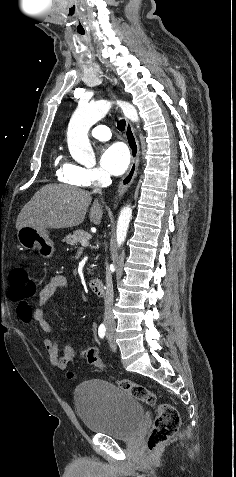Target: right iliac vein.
I'll use <instances>...</instances> for the list:
<instances>
[{
    "label": "right iliac vein",
    "instance_id": "63e3f726",
    "mask_svg": "<svg viewBox=\"0 0 236 477\" xmlns=\"http://www.w3.org/2000/svg\"><path fill=\"white\" fill-rule=\"evenodd\" d=\"M108 337H109V338H113V335H112V334H109V336H108Z\"/></svg>",
    "mask_w": 236,
    "mask_h": 477
}]
</instances>
